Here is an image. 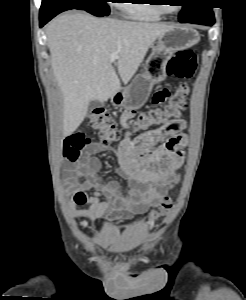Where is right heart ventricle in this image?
Masks as SVG:
<instances>
[{"label": "right heart ventricle", "mask_w": 246, "mask_h": 300, "mask_svg": "<svg viewBox=\"0 0 246 300\" xmlns=\"http://www.w3.org/2000/svg\"><path fill=\"white\" fill-rule=\"evenodd\" d=\"M131 3L119 4L122 12L129 18L143 22H156L163 18L154 0H128Z\"/></svg>", "instance_id": "1"}]
</instances>
